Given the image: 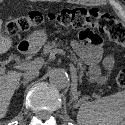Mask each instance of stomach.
Wrapping results in <instances>:
<instances>
[{
    "mask_svg": "<svg viewBox=\"0 0 125 125\" xmlns=\"http://www.w3.org/2000/svg\"><path fill=\"white\" fill-rule=\"evenodd\" d=\"M48 41V34L45 29H37L31 33L27 39L28 50L35 52L39 50ZM106 64V63H105Z\"/></svg>",
    "mask_w": 125,
    "mask_h": 125,
    "instance_id": "1",
    "label": "stomach"
}]
</instances>
